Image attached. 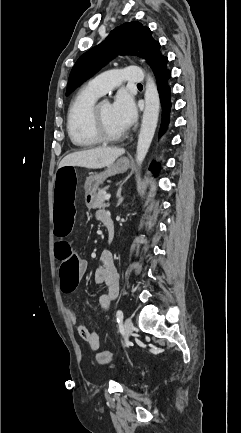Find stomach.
I'll return each instance as SVG.
<instances>
[{"label": "stomach", "mask_w": 241, "mask_h": 433, "mask_svg": "<svg viewBox=\"0 0 241 433\" xmlns=\"http://www.w3.org/2000/svg\"><path fill=\"white\" fill-rule=\"evenodd\" d=\"M130 167V161L126 157H121L107 169L99 174L88 177L84 184L85 203L87 207H92L99 186L110 176L126 172Z\"/></svg>", "instance_id": "1"}]
</instances>
